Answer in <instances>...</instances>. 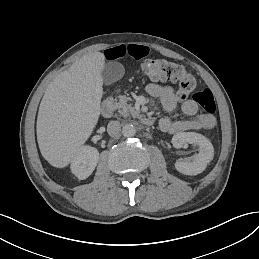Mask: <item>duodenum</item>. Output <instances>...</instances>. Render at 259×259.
<instances>
[{
    "mask_svg": "<svg viewBox=\"0 0 259 259\" xmlns=\"http://www.w3.org/2000/svg\"><path fill=\"white\" fill-rule=\"evenodd\" d=\"M101 113L104 117H110L113 113L114 110V104L113 101L111 99H105L102 101L101 103ZM155 120L151 117H144L142 119V123L145 125H152L154 124Z\"/></svg>",
    "mask_w": 259,
    "mask_h": 259,
    "instance_id": "410a0bca",
    "label": "duodenum"
}]
</instances>
